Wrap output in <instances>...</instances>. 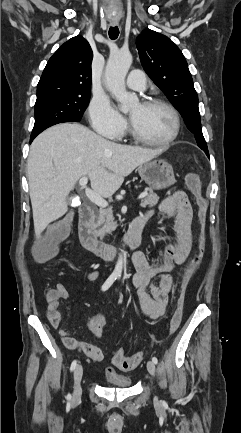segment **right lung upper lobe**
I'll use <instances>...</instances> for the list:
<instances>
[{"mask_svg": "<svg viewBox=\"0 0 241 433\" xmlns=\"http://www.w3.org/2000/svg\"><path fill=\"white\" fill-rule=\"evenodd\" d=\"M92 58V49L82 36L61 45L43 71L37 85V99L91 95Z\"/></svg>", "mask_w": 241, "mask_h": 433, "instance_id": "cb5924a9", "label": "right lung upper lobe"}]
</instances>
